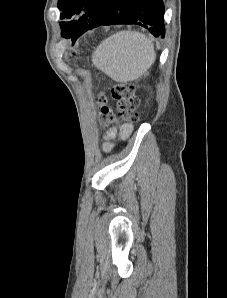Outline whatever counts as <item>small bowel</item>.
<instances>
[{
  "instance_id": "obj_1",
  "label": "small bowel",
  "mask_w": 227,
  "mask_h": 298,
  "mask_svg": "<svg viewBox=\"0 0 227 298\" xmlns=\"http://www.w3.org/2000/svg\"><path fill=\"white\" fill-rule=\"evenodd\" d=\"M131 131L132 126L130 124H123L119 129L116 127H111L108 129L104 135L103 150L105 152L110 151L113 146L112 140L115 137L125 139L130 135Z\"/></svg>"
}]
</instances>
